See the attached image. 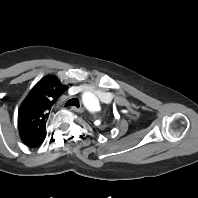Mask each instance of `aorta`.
Wrapping results in <instances>:
<instances>
[{
  "label": "aorta",
  "instance_id": "aorta-1",
  "mask_svg": "<svg viewBox=\"0 0 198 198\" xmlns=\"http://www.w3.org/2000/svg\"><path fill=\"white\" fill-rule=\"evenodd\" d=\"M82 100L84 105L90 110H95L99 106L98 98L90 92H84Z\"/></svg>",
  "mask_w": 198,
  "mask_h": 198
}]
</instances>
